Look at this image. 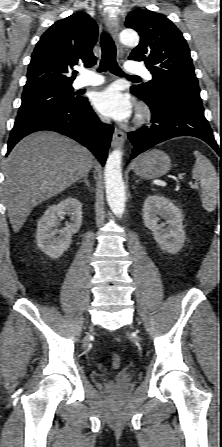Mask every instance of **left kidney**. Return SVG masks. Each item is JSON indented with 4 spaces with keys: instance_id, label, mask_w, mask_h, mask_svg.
Listing matches in <instances>:
<instances>
[{
    "instance_id": "obj_1",
    "label": "left kidney",
    "mask_w": 222,
    "mask_h": 447,
    "mask_svg": "<svg viewBox=\"0 0 222 447\" xmlns=\"http://www.w3.org/2000/svg\"><path fill=\"white\" fill-rule=\"evenodd\" d=\"M166 219L168 226L159 224V217ZM183 217L180 209L168 198L150 195L143 205L144 225L153 232L161 250L176 254L185 242Z\"/></svg>"
}]
</instances>
